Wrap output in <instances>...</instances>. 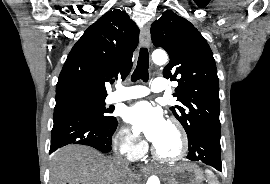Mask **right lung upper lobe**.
<instances>
[{
  "label": "right lung upper lobe",
  "instance_id": "cb5924a9",
  "mask_svg": "<svg viewBox=\"0 0 270 184\" xmlns=\"http://www.w3.org/2000/svg\"><path fill=\"white\" fill-rule=\"evenodd\" d=\"M139 30L129 15L110 10L92 24L73 46L56 85V98L66 95L107 96L105 82L126 77Z\"/></svg>",
  "mask_w": 270,
  "mask_h": 184
}]
</instances>
